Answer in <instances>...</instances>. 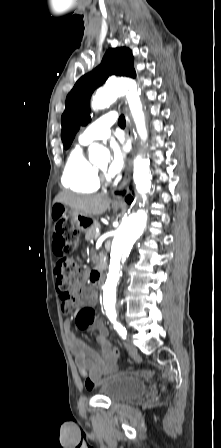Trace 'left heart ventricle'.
Wrapping results in <instances>:
<instances>
[{
	"instance_id": "left-heart-ventricle-1",
	"label": "left heart ventricle",
	"mask_w": 221,
	"mask_h": 448,
	"mask_svg": "<svg viewBox=\"0 0 221 448\" xmlns=\"http://www.w3.org/2000/svg\"><path fill=\"white\" fill-rule=\"evenodd\" d=\"M105 167H106V164H105V163H103V164L99 165V168H101L102 170H104V169H105Z\"/></svg>"
}]
</instances>
